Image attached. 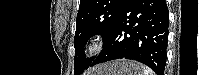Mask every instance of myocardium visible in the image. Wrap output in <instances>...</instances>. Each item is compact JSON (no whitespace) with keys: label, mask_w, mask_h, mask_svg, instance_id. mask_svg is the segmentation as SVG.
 Masks as SVG:
<instances>
[{"label":"myocardium","mask_w":199,"mask_h":75,"mask_svg":"<svg viewBox=\"0 0 199 75\" xmlns=\"http://www.w3.org/2000/svg\"><path fill=\"white\" fill-rule=\"evenodd\" d=\"M105 38L103 36H93L89 38L83 47V52L86 56H94L98 54L105 45Z\"/></svg>","instance_id":"obj_1"}]
</instances>
